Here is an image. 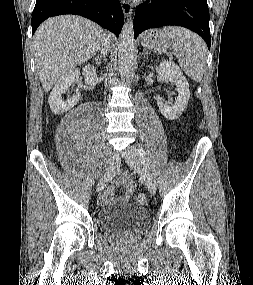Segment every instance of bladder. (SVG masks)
<instances>
[{"label":"bladder","instance_id":"bladder-1","mask_svg":"<svg viewBox=\"0 0 253 285\" xmlns=\"http://www.w3.org/2000/svg\"><path fill=\"white\" fill-rule=\"evenodd\" d=\"M98 218L102 229L115 235L138 233L145 229L150 221L147 209L134 203L103 208Z\"/></svg>","mask_w":253,"mask_h":285}]
</instances>
